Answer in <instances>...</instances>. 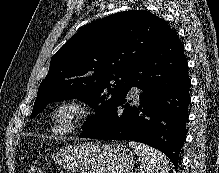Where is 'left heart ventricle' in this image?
Here are the masks:
<instances>
[{
	"label": "left heart ventricle",
	"mask_w": 219,
	"mask_h": 173,
	"mask_svg": "<svg viewBox=\"0 0 219 173\" xmlns=\"http://www.w3.org/2000/svg\"><path fill=\"white\" fill-rule=\"evenodd\" d=\"M71 113L69 110H63L58 114V122L61 125H65L70 119Z\"/></svg>",
	"instance_id": "1"
}]
</instances>
